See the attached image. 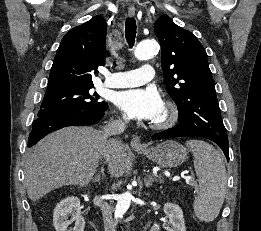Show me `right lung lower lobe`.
Returning <instances> with one entry per match:
<instances>
[{"instance_id": "1", "label": "right lung lower lobe", "mask_w": 261, "mask_h": 231, "mask_svg": "<svg viewBox=\"0 0 261 231\" xmlns=\"http://www.w3.org/2000/svg\"><path fill=\"white\" fill-rule=\"evenodd\" d=\"M108 106L102 109L74 110L58 113L34 121L28 139V147L35 145L47 134L66 127L76 125H94L104 116Z\"/></svg>"}]
</instances>
